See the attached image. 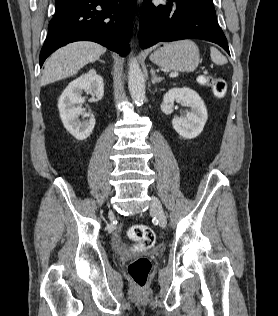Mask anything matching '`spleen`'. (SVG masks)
<instances>
[{"label": "spleen", "instance_id": "3e777b00", "mask_svg": "<svg viewBox=\"0 0 278 316\" xmlns=\"http://www.w3.org/2000/svg\"><path fill=\"white\" fill-rule=\"evenodd\" d=\"M210 52L211 60L217 65H223L227 62L225 56L222 55L215 47H211Z\"/></svg>", "mask_w": 278, "mask_h": 316}]
</instances>
